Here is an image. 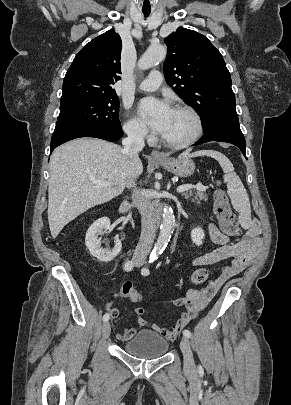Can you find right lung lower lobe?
Instances as JSON below:
<instances>
[{
  "instance_id": "98d812e1",
  "label": "right lung lower lobe",
  "mask_w": 291,
  "mask_h": 405,
  "mask_svg": "<svg viewBox=\"0 0 291 405\" xmlns=\"http://www.w3.org/2000/svg\"><path fill=\"white\" fill-rule=\"evenodd\" d=\"M123 136V131H118V132H84V133H79L76 135H72L69 137H66L64 139L58 140L54 143L51 144L50 147V153L59 145L62 143H65L67 141H70L75 138H80V137H95V138H100L104 139L107 141H117Z\"/></svg>"
}]
</instances>
